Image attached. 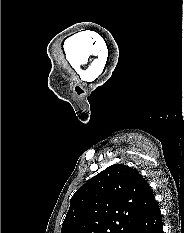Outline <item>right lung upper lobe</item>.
Segmentation results:
<instances>
[{"instance_id": "obj_1", "label": "right lung upper lobe", "mask_w": 184, "mask_h": 233, "mask_svg": "<svg viewBox=\"0 0 184 233\" xmlns=\"http://www.w3.org/2000/svg\"><path fill=\"white\" fill-rule=\"evenodd\" d=\"M155 204L150 186L137 170L114 164L72 196L61 233H126Z\"/></svg>"}]
</instances>
